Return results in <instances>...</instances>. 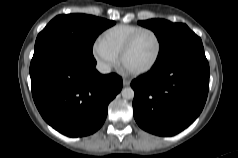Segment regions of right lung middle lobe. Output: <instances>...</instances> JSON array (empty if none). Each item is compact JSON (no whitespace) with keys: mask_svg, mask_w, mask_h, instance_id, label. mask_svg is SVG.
<instances>
[{"mask_svg":"<svg viewBox=\"0 0 238 158\" xmlns=\"http://www.w3.org/2000/svg\"><path fill=\"white\" fill-rule=\"evenodd\" d=\"M114 24V21L86 14L58 15L39 33L35 49L48 41L58 40L93 56L92 46L96 37Z\"/></svg>","mask_w":238,"mask_h":158,"instance_id":"right-lung-middle-lobe-1","label":"right lung middle lobe"}]
</instances>
